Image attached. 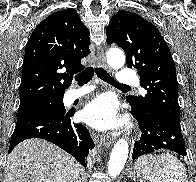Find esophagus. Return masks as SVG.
Wrapping results in <instances>:
<instances>
[{
	"instance_id": "obj_1",
	"label": "esophagus",
	"mask_w": 196,
	"mask_h": 182,
	"mask_svg": "<svg viewBox=\"0 0 196 182\" xmlns=\"http://www.w3.org/2000/svg\"><path fill=\"white\" fill-rule=\"evenodd\" d=\"M97 58H98V62H99V64L102 66V67H104V68H106L107 69V63H106V59H105V55H104V52L102 51V50H100V51H98V53H97ZM112 141H113V139L111 138V137H109V136H107V137H101V139H100V144H104V145H106V146H109V145H111L112 144Z\"/></svg>"
}]
</instances>
